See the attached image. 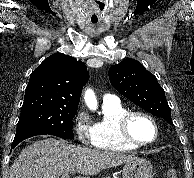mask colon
Segmentation results:
<instances>
[{"label": "colon", "instance_id": "1", "mask_svg": "<svg viewBox=\"0 0 194 178\" xmlns=\"http://www.w3.org/2000/svg\"><path fill=\"white\" fill-rule=\"evenodd\" d=\"M165 178H178L177 171L173 168H169L165 172Z\"/></svg>", "mask_w": 194, "mask_h": 178}]
</instances>
